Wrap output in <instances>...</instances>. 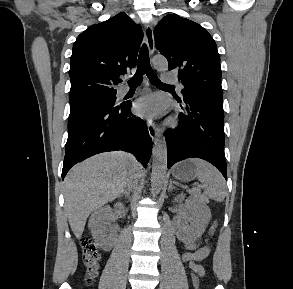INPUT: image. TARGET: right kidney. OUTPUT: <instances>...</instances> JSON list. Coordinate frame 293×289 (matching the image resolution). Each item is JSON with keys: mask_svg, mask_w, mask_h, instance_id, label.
I'll return each instance as SVG.
<instances>
[{"mask_svg": "<svg viewBox=\"0 0 293 289\" xmlns=\"http://www.w3.org/2000/svg\"><path fill=\"white\" fill-rule=\"evenodd\" d=\"M116 208L121 209V204H116ZM112 217V209L110 206H104L94 211L91 215L88 227L91 229L93 237L97 241H101L103 245H107L108 236L107 221Z\"/></svg>", "mask_w": 293, "mask_h": 289, "instance_id": "obj_1", "label": "right kidney"}]
</instances>
